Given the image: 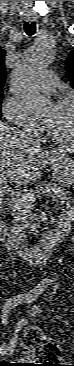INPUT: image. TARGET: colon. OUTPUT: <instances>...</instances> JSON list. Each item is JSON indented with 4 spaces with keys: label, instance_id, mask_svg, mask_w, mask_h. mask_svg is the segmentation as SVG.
I'll use <instances>...</instances> for the list:
<instances>
[{
    "label": "colon",
    "instance_id": "colon-1",
    "mask_svg": "<svg viewBox=\"0 0 74 366\" xmlns=\"http://www.w3.org/2000/svg\"><path fill=\"white\" fill-rule=\"evenodd\" d=\"M67 225L62 224L61 230L66 231ZM21 345L28 358L44 359L49 358L50 362L56 360L55 356L59 355L58 346L44 338L38 330L27 329L21 337ZM54 357V358H53ZM48 366H53L50 363Z\"/></svg>",
    "mask_w": 74,
    "mask_h": 366
}]
</instances>
